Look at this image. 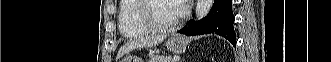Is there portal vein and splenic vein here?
Listing matches in <instances>:
<instances>
[{"label":"portal vein and splenic vein","mask_w":331,"mask_h":62,"mask_svg":"<svg viewBox=\"0 0 331 62\" xmlns=\"http://www.w3.org/2000/svg\"><path fill=\"white\" fill-rule=\"evenodd\" d=\"M179 58L177 57V58H174V61H176V60H178Z\"/></svg>","instance_id":"18ae733b"}]
</instances>
